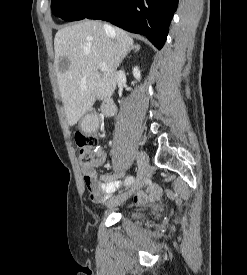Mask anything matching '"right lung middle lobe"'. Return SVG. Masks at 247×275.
<instances>
[{
  "label": "right lung middle lobe",
  "mask_w": 247,
  "mask_h": 275,
  "mask_svg": "<svg viewBox=\"0 0 247 275\" xmlns=\"http://www.w3.org/2000/svg\"><path fill=\"white\" fill-rule=\"evenodd\" d=\"M105 0H52L51 9L55 16L66 21L84 19Z\"/></svg>",
  "instance_id": "obj_1"
}]
</instances>
